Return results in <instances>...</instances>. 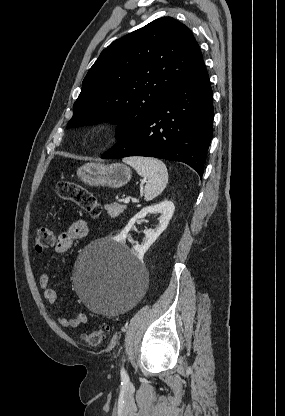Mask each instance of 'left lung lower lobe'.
I'll return each instance as SVG.
<instances>
[{
	"instance_id": "1",
	"label": "left lung lower lobe",
	"mask_w": 285,
	"mask_h": 416,
	"mask_svg": "<svg viewBox=\"0 0 285 416\" xmlns=\"http://www.w3.org/2000/svg\"><path fill=\"white\" fill-rule=\"evenodd\" d=\"M213 116V93L202 61L190 78L101 158L148 156L180 161L202 178Z\"/></svg>"
}]
</instances>
